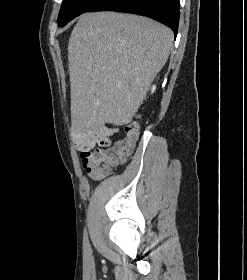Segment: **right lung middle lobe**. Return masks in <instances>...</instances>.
<instances>
[{
  "label": "right lung middle lobe",
  "instance_id": "1",
  "mask_svg": "<svg viewBox=\"0 0 247 280\" xmlns=\"http://www.w3.org/2000/svg\"><path fill=\"white\" fill-rule=\"evenodd\" d=\"M101 0H63L58 23L61 27L80 14L90 11Z\"/></svg>",
  "mask_w": 247,
  "mask_h": 280
}]
</instances>
